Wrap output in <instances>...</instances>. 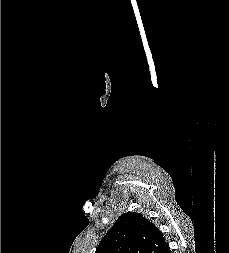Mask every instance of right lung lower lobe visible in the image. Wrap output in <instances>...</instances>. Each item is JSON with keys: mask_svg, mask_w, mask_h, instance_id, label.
Wrapping results in <instances>:
<instances>
[{"mask_svg": "<svg viewBox=\"0 0 229 253\" xmlns=\"http://www.w3.org/2000/svg\"><path fill=\"white\" fill-rule=\"evenodd\" d=\"M165 253H171V251H170V248L168 247V249L166 250V252Z\"/></svg>", "mask_w": 229, "mask_h": 253, "instance_id": "1", "label": "right lung lower lobe"}]
</instances>
